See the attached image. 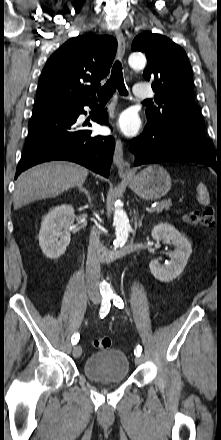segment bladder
<instances>
[{
    "label": "bladder",
    "mask_w": 221,
    "mask_h": 440,
    "mask_svg": "<svg viewBox=\"0 0 221 440\" xmlns=\"http://www.w3.org/2000/svg\"><path fill=\"white\" fill-rule=\"evenodd\" d=\"M129 360L119 349H107L90 355L84 363V376L99 383H119L129 376Z\"/></svg>",
    "instance_id": "1"
}]
</instances>
